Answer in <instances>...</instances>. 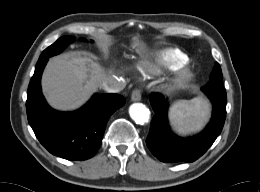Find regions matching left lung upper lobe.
<instances>
[{"mask_svg": "<svg viewBox=\"0 0 260 192\" xmlns=\"http://www.w3.org/2000/svg\"><path fill=\"white\" fill-rule=\"evenodd\" d=\"M222 83H223L222 71L220 65L216 63L214 70L211 73L210 81L207 85L209 86L222 85Z\"/></svg>", "mask_w": 260, "mask_h": 192, "instance_id": "1", "label": "left lung upper lobe"}]
</instances>
